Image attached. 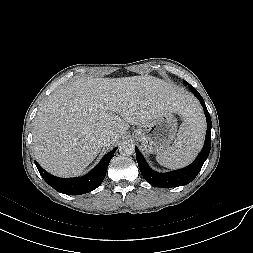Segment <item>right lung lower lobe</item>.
I'll return each mask as SVG.
<instances>
[{
  "mask_svg": "<svg viewBox=\"0 0 253 253\" xmlns=\"http://www.w3.org/2000/svg\"><path fill=\"white\" fill-rule=\"evenodd\" d=\"M115 150L106 154L87 175L78 178H59L46 172L36 161L35 164L46 183L55 190L68 195H80L96 189L102 183Z\"/></svg>",
  "mask_w": 253,
  "mask_h": 253,
  "instance_id": "98d812e1",
  "label": "right lung lower lobe"
}]
</instances>
